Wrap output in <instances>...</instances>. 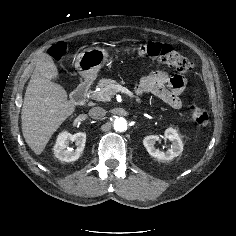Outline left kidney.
Here are the masks:
<instances>
[{
    "label": "left kidney",
    "mask_w": 236,
    "mask_h": 236,
    "mask_svg": "<svg viewBox=\"0 0 236 236\" xmlns=\"http://www.w3.org/2000/svg\"><path fill=\"white\" fill-rule=\"evenodd\" d=\"M164 137L171 141L170 149L160 151L155 147L156 141L159 140L157 135L146 136L143 140V145L148 151V153L157 158L158 160H172L173 158L179 156L183 151V143L178 135V132L173 128L166 129Z\"/></svg>",
    "instance_id": "obj_1"
}]
</instances>
